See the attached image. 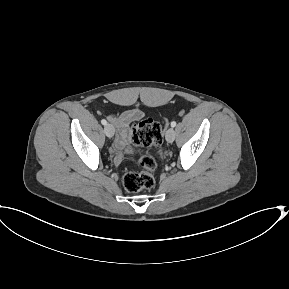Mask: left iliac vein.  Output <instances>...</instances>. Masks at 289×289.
<instances>
[{
  "mask_svg": "<svg viewBox=\"0 0 289 289\" xmlns=\"http://www.w3.org/2000/svg\"><path fill=\"white\" fill-rule=\"evenodd\" d=\"M165 137H166L167 142L172 143L174 141V139H175V131H174V129L173 128H169L166 131Z\"/></svg>",
  "mask_w": 289,
  "mask_h": 289,
  "instance_id": "obj_1",
  "label": "left iliac vein"
}]
</instances>
